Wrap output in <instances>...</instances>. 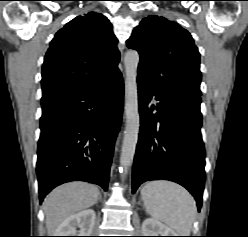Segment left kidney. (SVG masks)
Segmentation results:
<instances>
[{"mask_svg": "<svg viewBox=\"0 0 248 237\" xmlns=\"http://www.w3.org/2000/svg\"><path fill=\"white\" fill-rule=\"evenodd\" d=\"M142 233L143 236H178L171 228L154 218L144 220Z\"/></svg>", "mask_w": 248, "mask_h": 237, "instance_id": "obj_1", "label": "left kidney"}]
</instances>
